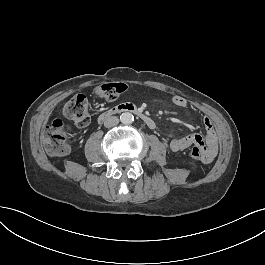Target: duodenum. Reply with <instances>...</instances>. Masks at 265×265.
<instances>
[{
    "label": "duodenum",
    "mask_w": 265,
    "mask_h": 265,
    "mask_svg": "<svg viewBox=\"0 0 265 265\" xmlns=\"http://www.w3.org/2000/svg\"><path fill=\"white\" fill-rule=\"evenodd\" d=\"M130 112L135 114L141 121H143L148 127L154 128L155 127V121L151 116L144 113L142 110H140L138 107H136L133 104H119L116 106H112L108 110L102 112L98 117V122L103 123L108 118L115 116L117 114Z\"/></svg>",
    "instance_id": "1"
}]
</instances>
